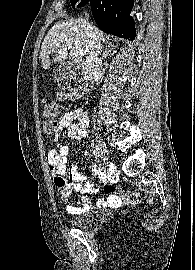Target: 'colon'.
<instances>
[{
    "label": "colon",
    "instance_id": "1",
    "mask_svg": "<svg viewBox=\"0 0 195 270\" xmlns=\"http://www.w3.org/2000/svg\"><path fill=\"white\" fill-rule=\"evenodd\" d=\"M61 98L74 99L80 96L83 91V82L77 77H67L61 81ZM43 117L46 118L44 122V131L47 135L54 136L58 131V124L56 118L58 116L57 104L53 101H44L41 108ZM127 203L136 204L140 197L135 192H130L124 196Z\"/></svg>",
    "mask_w": 195,
    "mask_h": 270
}]
</instances>
